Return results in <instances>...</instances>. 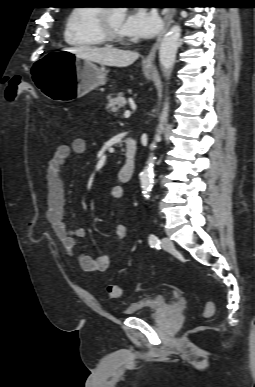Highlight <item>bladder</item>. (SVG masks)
I'll return each instance as SVG.
<instances>
[{"instance_id": "bladder-1", "label": "bladder", "mask_w": 255, "mask_h": 387, "mask_svg": "<svg viewBox=\"0 0 255 387\" xmlns=\"http://www.w3.org/2000/svg\"><path fill=\"white\" fill-rule=\"evenodd\" d=\"M170 301L163 294H156L131 303L123 314L129 317L154 315L170 307Z\"/></svg>"}]
</instances>
